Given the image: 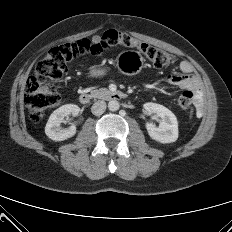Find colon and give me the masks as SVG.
I'll return each instance as SVG.
<instances>
[{
    "label": "colon",
    "mask_w": 232,
    "mask_h": 232,
    "mask_svg": "<svg viewBox=\"0 0 232 232\" xmlns=\"http://www.w3.org/2000/svg\"><path fill=\"white\" fill-rule=\"evenodd\" d=\"M117 46L137 48L156 67H166L175 61L174 54L116 30H108L91 40L83 39L58 45L36 65L33 75L26 82L24 103L30 119L33 122L40 121L44 113L58 103L56 84L68 73L76 58L84 55L99 56ZM192 96L190 91L180 94L177 104L181 110H192Z\"/></svg>",
    "instance_id": "1"
}]
</instances>
